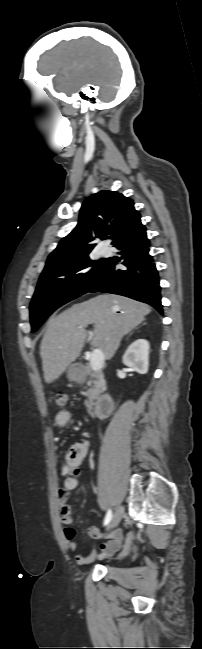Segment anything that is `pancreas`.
<instances>
[{
	"label": "pancreas",
	"instance_id": "obj_1",
	"mask_svg": "<svg viewBox=\"0 0 202 649\" xmlns=\"http://www.w3.org/2000/svg\"><path fill=\"white\" fill-rule=\"evenodd\" d=\"M87 382L91 386L86 392L88 397V402L86 407L89 411L95 406V401L99 399V395L105 389V380L102 372L93 371L90 365L81 366V375L79 378V383L83 384Z\"/></svg>",
	"mask_w": 202,
	"mask_h": 649
}]
</instances>
